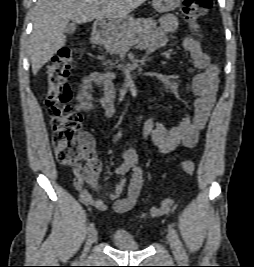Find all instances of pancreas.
Instances as JSON below:
<instances>
[{"instance_id":"1","label":"pancreas","mask_w":254,"mask_h":267,"mask_svg":"<svg viewBox=\"0 0 254 267\" xmlns=\"http://www.w3.org/2000/svg\"><path fill=\"white\" fill-rule=\"evenodd\" d=\"M155 27L156 22L152 18L134 20L130 23V25L122 29L121 32L112 33L103 40L105 50L111 55H117L125 48V45H127L136 36H146L150 34ZM102 58L103 57H99V59ZM106 64L107 63H104V65ZM110 65L112 66L113 64L111 63ZM117 68L120 69L121 66L119 65Z\"/></svg>"}]
</instances>
